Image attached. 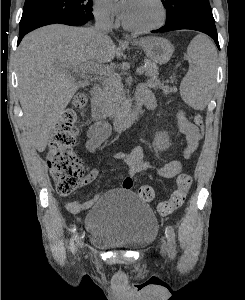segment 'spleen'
I'll list each match as a JSON object with an SVG mask.
<instances>
[{"instance_id": "3e777b00", "label": "spleen", "mask_w": 245, "mask_h": 300, "mask_svg": "<svg viewBox=\"0 0 245 300\" xmlns=\"http://www.w3.org/2000/svg\"><path fill=\"white\" fill-rule=\"evenodd\" d=\"M190 68L180 85L184 102L196 110H203L212 97L217 52L205 36H196L188 46Z\"/></svg>"}]
</instances>
